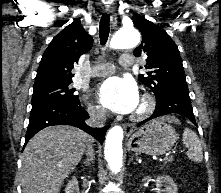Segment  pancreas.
Instances as JSON below:
<instances>
[{"label":"pancreas","mask_w":221,"mask_h":193,"mask_svg":"<svg viewBox=\"0 0 221 193\" xmlns=\"http://www.w3.org/2000/svg\"><path fill=\"white\" fill-rule=\"evenodd\" d=\"M173 159L172 158H170L168 161H172Z\"/></svg>","instance_id":"obj_1"}]
</instances>
